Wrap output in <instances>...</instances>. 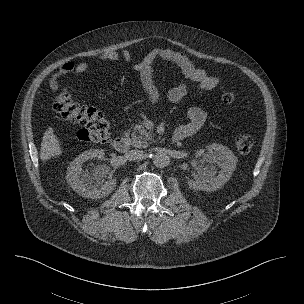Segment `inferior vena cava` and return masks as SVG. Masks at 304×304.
<instances>
[{"mask_svg": "<svg viewBox=\"0 0 304 304\" xmlns=\"http://www.w3.org/2000/svg\"><path fill=\"white\" fill-rule=\"evenodd\" d=\"M126 157L129 160H141L143 158V151L141 150H131L126 153Z\"/></svg>", "mask_w": 304, "mask_h": 304, "instance_id": "inferior-vena-cava-1", "label": "inferior vena cava"}]
</instances>
